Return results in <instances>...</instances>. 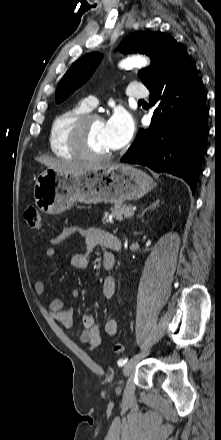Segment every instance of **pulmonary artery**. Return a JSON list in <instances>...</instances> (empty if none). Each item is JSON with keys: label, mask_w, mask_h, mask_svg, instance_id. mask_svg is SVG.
I'll use <instances>...</instances> for the list:
<instances>
[{"label": "pulmonary artery", "mask_w": 221, "mask_h": 440, "mask_svg": "<svg viewBox=\"0 0 221 440\" xmlns=\"http://www.w3.org/2000/svg\"><path fill=\"white\" fill-rule=\"evenodd\" d=\"M126 96L134 99H144L148 96V91L146 88L142 87L137 83L130 84L125 90ZM86 102L91 108H94L98 105V99L94 96H89L86 99Z\"/></svg>", "instance_id": "e3ab8cb5"}]
</instances>
